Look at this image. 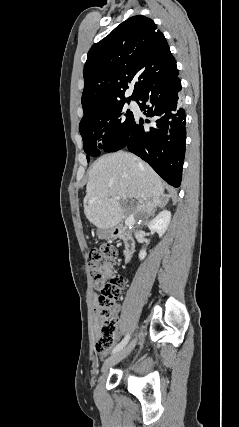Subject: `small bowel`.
Masks as SVG:
<instances>
[{
    "label": "small bowel",
    "mask_w": 239,
    "mask_h": 427,
    "mask_svg": "<svg viewBox=\"0 0 239 427\" xmlns=\"http://www.w3.org/2000/svg\"><path fill=\"white\" fill-rule=\"evenodd\" d=\"M96 298V297H95ZM100 354V356L101 357H103V356H105L106 355V352H104V353H99Z\"/></svg>",
    "instance_id": "obj_1"
}]
</instances>
